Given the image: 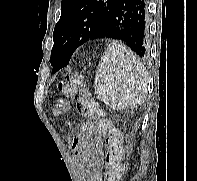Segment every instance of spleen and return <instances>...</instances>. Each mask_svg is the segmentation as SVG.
<instances>
[{
  "mask_svg": "<svg viewBox=\"0 0 197 181\" xmlns=\"http://www.w3.org/2000/svg\"><path fill=\"white\" fill-rule=\"evenodd\" d=\"M147 72L143 64L122 43L113 41L96 70L97 99L114 110L135 108L147 97Z\"/></svg>",
  "mask_w": 197,
  "mask_h": 181,
  "instance_id": "obj_1",
  "label": "spleen"
}]
</instances>
